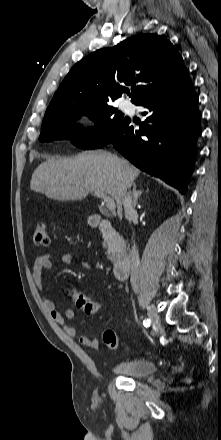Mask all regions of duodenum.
<instances>
[{
    "instance_id": "obj_1",
    "label": "duodenum",
    "mask_w": 221,
    "mask_h": 440,
    "mask_svg": "<svg viewBox=\"0 0 221 440\" xmlns=\"http://www.w3.org/2000/svg\"><path fill=\"white\" fill-rule=\"evenodd\" d=\"M91 223L98 227L103 236L109 241H120V237L116 229L110 222L101 219L98 216H92ZM133 264V257L127 250L125 251L114 265L113 273L116 279L124 280L128 277Z\"/></svg>"
}]
</instances>
